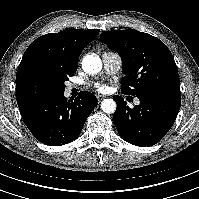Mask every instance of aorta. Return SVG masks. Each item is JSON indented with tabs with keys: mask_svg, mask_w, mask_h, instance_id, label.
Listing matches in <instances>:
<instances>
[{
	"mask_svg": "<svg viewBox=\"0 0 199 199\" xmlns=\"http://www.w3.org/2000/svg\"><path fill=\"white\" fill-rule=\"evenodd\" d=\"M82 68L88 74H96L102 69V61L98 55L92 53L83 58ZM101 109L105 113H114L116 110V103L113 99H105L101 103Z\"/></svg>",
	"mask_w": 199,
	"mask_h": 199,
	"instance_id": "aorta-1",
	"label": "aorta"
}]
</instances>
